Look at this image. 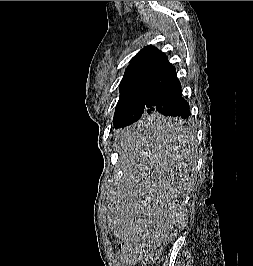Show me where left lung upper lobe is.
<instances>
[{"label": "left lung upper lobe", "instance_id": "5c2ea615", "mask_svg": "<svg viewBox=\"0 0 253 266\" xmlns=\"http://www.w3.org/2000/svg\"><path fill=\"white\" fill-rule=\"evenodd\" d=\"M165 54L154 46L141 49L130 61L120 82V96L114 114V127L148 119L144 114L146 97Z\"/></svg>", "mask_w": 253, "mask_h": 266}]
</instances>
